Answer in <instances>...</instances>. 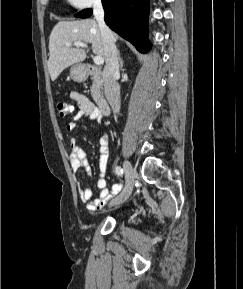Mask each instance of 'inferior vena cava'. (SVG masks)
I'll list each match as a JSON object with an SVG mask.
<instances>
[{
	"label": "inferior vena cava",
	"instance_id": "602c4592",
	"mask_svg": "<svg viewBox=\"0 0 243 289\" xmlns=\"http://www.w3.org/2000/svg\"><path fill=\"white\" fill-rule=\"evenodd\" d=\"M94 16L98 22L105 55V68L103 70V82L105 96L114 113L120 111V89L117 84L119 78V62L117 47L114 43V37L104 21V9L100 0L94 4Z\"/></svg>",
	"mask_w": 243,
	"mask_h": 289
}]
</instances>
